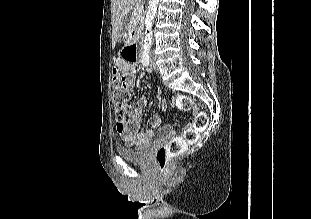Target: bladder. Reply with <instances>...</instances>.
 <instances>
[{
    "label": "bladder",
    "mask_w": 311,
    "mask_h": 219,
    "mask_svg": "<svg viewBox=\"0 0 311 219\" xmlns=\"http://www.w3.org/2000/svg\"><path fill=\"white\" fill-rule=\"evenodd\" d=\"M149 150L150 148L148 145H143L136 148H129L125 146H118L116 148V151L121 158L133 162L144 161L149 154Z\"/></svg>",
    "instance_id": "1"
}]
</instances>
